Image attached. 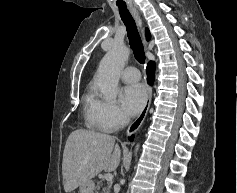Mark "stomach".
I'll list each match as a JSON object with an SVG mask.
<instances>
[{"mask_svg":"<svg viewBox=\"0 0 237 193\" xmlns=\"http://www.w3.org/2000/svg\"><path fill=\"white\" fill-rule=\"evenodd\" d=\"M94 182H92L91 180L80 185L79 188V193H94Z\"/></svg>","mask_w":237,"mask_h":193,"instance_id":"obj_1","label":"stomach"}]
</instances>
